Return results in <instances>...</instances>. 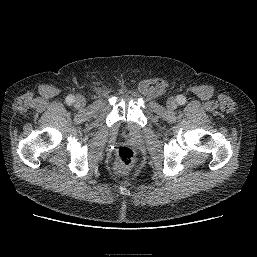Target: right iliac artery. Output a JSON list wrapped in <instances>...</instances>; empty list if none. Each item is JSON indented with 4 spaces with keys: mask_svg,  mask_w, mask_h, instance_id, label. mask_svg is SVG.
Segmentation results:
<instances>
[{
    "mask_svg": "<svg viewBox=\"0 0 257 257\" xmlns=\"http://www.w3.org/2000/svg\"><path fill=\"white\" fill-rule=\"evenodd\" d=\"M74 101H75V97L73 95L67 96V98H66L67 104L71 105L74 103Z\"/></svg>",
    "mask_w": 257,
    "mask_h": 257,
    "instance_id": "right-iliac-artery-1",
    "label": "right iliac artery"
}]
</instances>
